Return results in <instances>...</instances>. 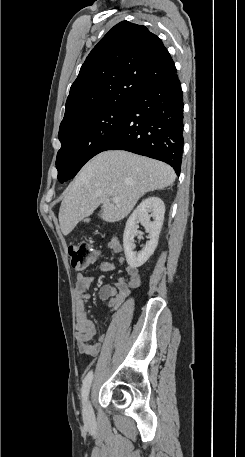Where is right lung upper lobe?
<instances>
[{"mask_svg":"<svg viewBox=\"0 0 245 457\" xmlns=\"http://www.w3.org/2000/svg\"><path fill=\"white\" fill-rule=\"evenodd\" d=\"M162 41L145 26L122 21L93 48L70 88L61 124L133 98L148 83L175 73Z\"/></svg>","mask_w":245,"mask_h":457,"instance_id":"right-lung-upper-lobe-1","label":"right lung upper lobe"}]
</instances>
